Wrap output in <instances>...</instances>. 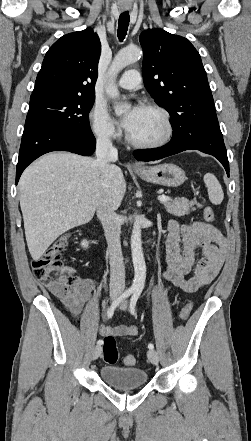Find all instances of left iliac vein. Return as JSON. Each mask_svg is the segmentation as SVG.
Here are the masks:
<instances>
[{"mask_svg": "<svg viewBox=\"0 0 251 441\" xmlns=\"http://www.w3.org/2000/svg\"><path fill=\"white\" fill-rule=\"evenodd\" d=\"M126 308H127V301H124L121 304L120 309L125 310ZM147 357L152 364H154V365L158 364L159 356H158V353L154 349L148 350Z\"/></svg>", "mask_w": 251, "mask_h": 441, "instance_id": "4c4485c4", "label": "left iliac vein"}]
</instances>
